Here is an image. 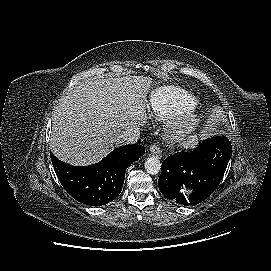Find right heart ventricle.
Masks as SVG:
<instances>
[{
  "mask_svg": "<svg viewBox=\"0 0 271 271\" xmlns=\"http://www.w3.org/2000/svg\"><path fill=\"white\" fill-rule=\"evenodd\" d=\"M198 104L197 98L187 90L177 86H162L153 90L149 96L150 117L158 121L193 111Z\"/></svg>",
  "mask_w": 271,
  "mask_h": 271,
  "instance_id": "e07e8e85",
  "label": "right heart ventricle"
}]
</instances>
